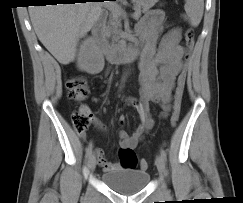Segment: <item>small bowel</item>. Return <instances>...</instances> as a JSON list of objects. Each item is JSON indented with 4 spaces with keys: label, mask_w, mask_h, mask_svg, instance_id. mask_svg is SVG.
<instances>
[{
    "label": "small bowel",
    "mask_w": 243,
    "mask_h": 203,
    "mask_svg": "<svg viewBox=\"0 0 243 203\" xmlns=\"http://www.w3.org/2000/svg\"><path fill=\"white\" fill-rule=\"evenodd\" d=\"M164 13L161 10H152L140 20L136 34L144 41L143 53L140 58V82L142 85L141 99L127 100V105L135 107L140 115L141 123L132 132L125 130L119 132L120 147L136 148L143 135L154 126V120L149 111V104L156 103L163 109L162 117L168 116L171 110L172 92L176 77L183 68L185 49L180 45V31L170 28L166 31L160 42L158 38L164 31ZM119 125L124 126L125 117H119ZM92 123L101 131L105 126L92 116ZM98 163L105 171L120 169L119 163L109 162L102 149L96 148Z\"/></svg>",
    "instance_id": "1"
}]
</instances>
